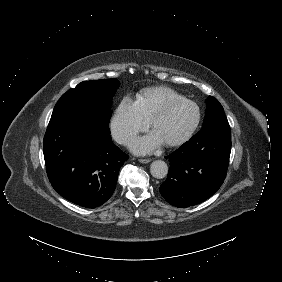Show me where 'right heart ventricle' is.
<instances>
[{
    "label": "right heart ventricle",
    "mask_w": 282,
    "mask_h": 282,
    "mask_svg": "<svg viewBox=\"0 0 282 282\" xmlns=\"http://www.w3.org/2000/svg\"><path fill=\"white\" fill-rule=\"evenodd\" d=\"M182 99L180 95L169 88L155 87L144 90L137 98L143 112L152 120L155 113H157L163 104Z\"/></svg>",
    "instance_id": "1"
}]
</instances>
